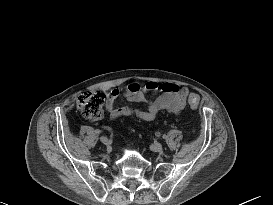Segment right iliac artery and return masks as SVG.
I'll list each match as a JSON object with an SVG mask.
<instances>
[{
    "label": "right iliac artery",
    "mask_w": 273,
    "mask_h": 205,
    "mask_svg": "<svg viewBox=\"0 0 273 205\" xmlns=\"http://www.w3.org/2000/svg\"><path fill=\"white\" fill-rule=\"evenodd\" d=\"M101 131L100 130H96V133H100Z\"/></svg>",
    "instance_id": "obj_1"
}]
</instances>
